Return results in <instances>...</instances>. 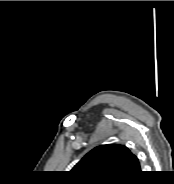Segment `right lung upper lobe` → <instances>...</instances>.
Returning <instances> with one entry per match:
<instances>
[{"instance_id": "cb5924a9", "label": "right lung upper lobe", "mask_w": 174, "mask_h": 184, "mask_svg": "<svg viewBox=\"0 0 174 184\" xmlns=\"http://www.w3.org/2000/svg\"><path fill=\"white\" fill-rule=\"evenodd\" d=\"M82 180L91 182H122L140 174L137 157L117 144L101 145L86 154L71 170Z\"/></svg>"}]
</instances>
